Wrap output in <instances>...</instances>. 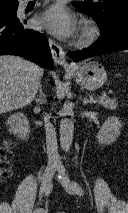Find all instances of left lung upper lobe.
I'll return each instance as SVG.
<instances>
[{"instance_id":"obj_1","label":"left lung upper lobe","mask_w":128,"mask_h":213,"mask_svg":"<svg viewBox=\"0 0 128 213\" xmlns=\"http://www.w3.org/2000/svg\"><path fill=\"white\" fill-rule=\"evenodd\" d=\"M73 5L89 14L99 28L105 27L114 20L128 15V0H85L74 2Z\"/></svg>"}]
</instances>
